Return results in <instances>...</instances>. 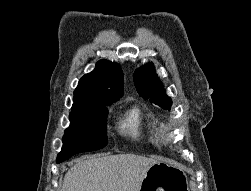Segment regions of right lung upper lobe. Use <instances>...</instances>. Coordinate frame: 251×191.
<instances>
[{"instance_id":"cb5924a9","label":"right lung upper lobe","mask_w":251,"mask_h":191,"mask_svg":"<svg viewBox=\"0 0 251 191\" xmlns=\"http://www.w3.org/2000/svg\"><path fill=\"white\" fill-rule=\"evenodd\" d=\"M123 95V73L113 62L102 60L96 63L91 73L84 75L74 91L71 111L88 106H107Z\"/></svg>"}]
</instances>
